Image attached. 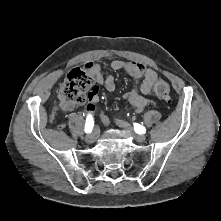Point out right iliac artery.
<instances>
[{
  "mask_svg": "<svg viewBox=\"0 0 221 221\" xmlns=\"http://www.w3.org/2000/svg\"><path fill=\"white\" fill-rule=\"evenodd\" d=\"M94 127V119L92 115L88 114L86 118V123H85V132L86 133H91Z\"/></svg>",
  "mask_w": 221,
  "mask_h": 221,
  "instance_id": "1",
  "label": "right iliac artery"
}]
</instances>
